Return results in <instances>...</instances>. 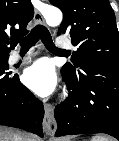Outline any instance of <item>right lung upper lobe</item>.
<instances>
[{"label":"right lung upper lobe","instance_id":"cb5924a9","mask_svg":"<svg viewBox=\"0 0 119 141\" xmlns=\"http://www.w3.org/2000/svg\"><path fill=\"white\" fill-rule=\"evenodd\" d=\"M34 16L30 0H0V58L8 57ZM10 45V46H9Z\"/></svg>","mask_w":119,"mask_h":141}]
</instances>
